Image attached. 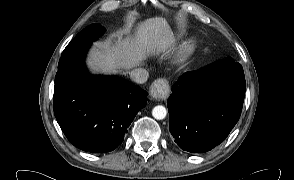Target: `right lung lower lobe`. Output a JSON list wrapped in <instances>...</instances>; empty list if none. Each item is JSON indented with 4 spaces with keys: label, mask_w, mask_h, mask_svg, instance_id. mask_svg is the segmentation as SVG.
Segmentation results:
<instances>
[{
    "label": "right lung lower lobe",
    "mask_w": 294,
    "mask_h": 180,
    "mask_svg": "<svg viewBox=\"0 0 294 180\" xmlns=\"http://www.w3.org/2000/svg\"><path fill=\"white\" fill-rule=\"evenodd\" d=\"M89 46L62 53L55 76L54 114L74 146L110 152L122 143L137 112L147 104V92L120 78L91 76L84 65Z\"/></svg>",
    "instance_id": "98d812e1"
}]
</instances>
